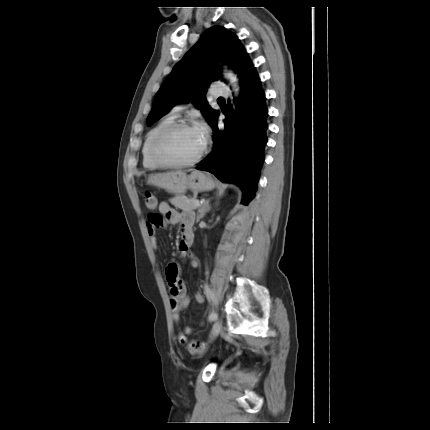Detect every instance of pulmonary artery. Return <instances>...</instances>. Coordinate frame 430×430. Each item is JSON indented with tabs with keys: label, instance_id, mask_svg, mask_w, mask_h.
I'll use <instances>...</instances> for the list:
<instances>
[{
	"label": "pulmonary artery",
	"instance_id": "e3ab8cb5",
	"mask_svg": "<svg viewBox=\"0 0 430 430\" xmlns=\"http://www.w3.org/2000/svg\"><path fill=\"white\" fill-rule=\"evenodd\" d=\"M212 94L215 96H223V97H228L230 95V90L229 88L222 83H218L215 84L213 86V91ZM183 109H185L184 105H176L173 109H172V113L174 115L179 114V112H181Z\"/></svg>",
	"mask_w": 430,
	"mask_h": 430
}]
</instances>
